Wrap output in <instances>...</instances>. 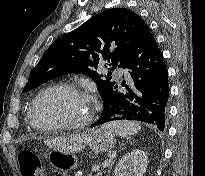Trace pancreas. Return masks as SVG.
I'll use <instances>...</instances> for the list:
<instances>
[{"instance_id": "cf45deb5", "label": "pancreas", "mask_w": 205, "mask_h": 176, "mask_svg": "<svg viewBox=\"0 0 205 176\" xmlns=\"http://www.w3.org/2000/svg\"><path fill=\"white\" fill-rule=\"evenodd\" d=\"M94 168L96 169V168H98V167H97V166H95ZM101 175H102V173H101V174H97V175H95V176H101Z\"/></svg>"}]
</instances>
